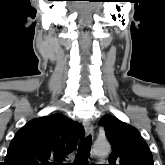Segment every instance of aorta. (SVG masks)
<instances>
[{
	"label": "aorta",
	"instance_id": "762f6f07",
	"mask_svg": "<svg viewBox=\"0 0 165 165\" xmlns=\"http://www.w3.org/2000/svg\"><path fill=\"white\" fill-rule=\"evenodd\" d=\"M110 144L108 141L96 142L93 151L97 155H107L110 152Z\"/></svg>",
	"mask_w": 165,
	"mask_h": 165
}]
</instances>
